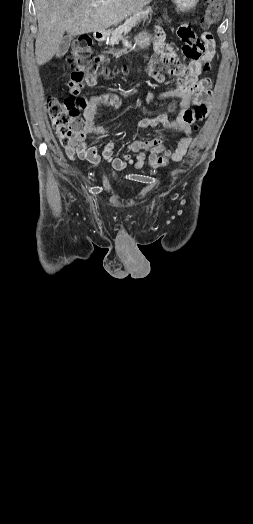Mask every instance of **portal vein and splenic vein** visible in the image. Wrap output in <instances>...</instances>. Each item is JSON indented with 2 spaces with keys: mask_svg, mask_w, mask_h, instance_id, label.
<instances>
[{
  "mask_svg": "<svg viewBox=\"0 0 253 524\" xmlns=\"http://www.w3.org/2000/svg\"><path fill=\"white\" fill-rule=\"evenodd\" d=\"M97 6H98V4L92 3V7H97Z\"/></svg>",
  "mask_w": 253,
  "mask_h": 524,
  "instance_id": "portal-vein-and-splenic-vein-1",
  "label": "portal vein and splenic vein"
}]
</instances>
